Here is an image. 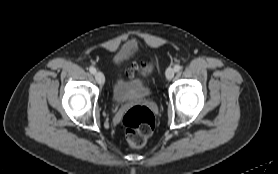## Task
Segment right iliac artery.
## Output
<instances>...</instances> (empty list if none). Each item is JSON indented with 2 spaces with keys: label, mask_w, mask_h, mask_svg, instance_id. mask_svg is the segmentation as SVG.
Wrapping results in <instances>:
<instances>
[{
  "label": "right iliac artery",
  "mask_w": 278,
  "mask_h": 174,
  "mask_svg": "<svg viewBox=\"0 0 278 174\" xmlns=\"http://www.w3.org/2000/svg\"><path fill=\"white\" fill-rule=\"evenodd\" d=\"M89 71H90L91 74H95L96 73V69L94 67H92V66L89 68Z\"/></svg>",
  "instance_id": "82829eb1"
}]
</instances>
